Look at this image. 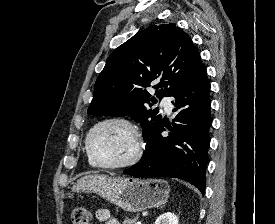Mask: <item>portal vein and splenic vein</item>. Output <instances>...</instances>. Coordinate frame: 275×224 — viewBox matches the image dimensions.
I'll return each mask as SVG.
<instances>
[{"label":"portal vein and splenic vein","instance_id":"obj_1","mask_svg":"<svg viewBox=\"0 0 275 224\" xmlns=\"http://www.w3.org/2000/svg\"><path fill=\"white\" fill-rule=\"evenodd\" d=\"M136 224H141V222H137Z\"/></svg>","mask_w":275,"mask_h":224}]
</instances>
